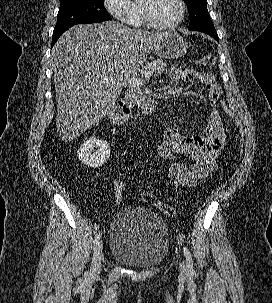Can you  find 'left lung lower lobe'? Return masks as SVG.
I'll list each match as a JSON object with an SVG mask.
<instances>
[{"instance_id":"obj_1","label":"left lung lower lobe","mask_w":272,"mask_h":303,"mask_svg":"<svg viewBox=\"0 0 272 303\" xmlns=\"http://www.w3.org/2000/svg\"><path fill=\"white\" fill-rule=\"evenodd\" d=\"M200 32H203V33H206V34L212 36L213 38H215L219 42V38H218V35H217V32H216L215 29H212V30H203V31H200Z\"/></svg>"}]
</instances>
